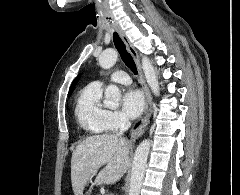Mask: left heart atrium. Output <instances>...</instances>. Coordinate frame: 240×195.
<instances>
[{
    "instance_id": "left-heart-atrium-1",
    "label": "left heart atrium",
    "mask_w": 240,
    "mask_h": 195,
    "mask_svg": "<svg viewBox=\"0 0 240 195\" xmlns=\"http://www.w3.org/2000/svg\"><path fill=\"white\" fill-rule=\"evenodd\" d=\"M144 106V97L141 91L131 89L124 95L123 107L130 117L136 118L140 116Z\"/></svg>"
}]
</instances>
